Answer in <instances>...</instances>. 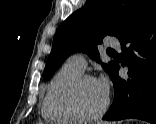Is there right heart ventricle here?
Returning <instances> with one entry per match:
<instances>
[{"mask_svg": "<svg viewBox=\"0 0 156 124\" xmlns=\"http://www.w3.org/2000/svg\"><path fill=\"white\" fill-rule=\"evenodd\" d=\"M82 72L64 64L46 87L42 102V115L52 124H73L77 121L65 110L62 96L69 84Z\"/></svg>", "mask_w": 156, "mask_h": 124, "instance_id": "right-heart-ventricle-1", "label": "right heart ventricle"}]
</instances>
